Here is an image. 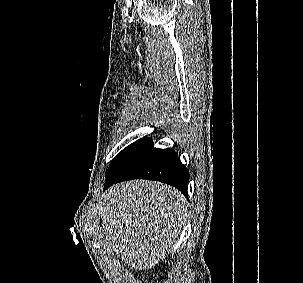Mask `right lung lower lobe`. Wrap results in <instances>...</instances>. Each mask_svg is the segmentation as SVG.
<instances>
[{
    "mask_svg": "<svg viewBox=\"0 0 303 283\" xmlns=\"http://www.w3.org/2000/svg\"><path fill=\"white\" fill-rule=\"evenodd\" d=\"M131 179L167 183L187 196L189 171L172 149L154 148L150 138L135 142L106 175L104 188Z\"/></svg>",
    "mask_w": 303,
    "mask_h": 283,
    "instance_id": "obj_1",
    "label": "right lung lower lobe"
}]
</instances>
